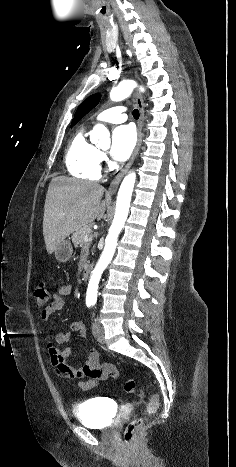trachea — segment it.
Here are the masks:
<instances>
[{"instance_id":"1","label":"trachea","mask_w":236,"mask_h":467,"mask_svg":"<svg viewBox=\"0 0 236 467\" xmlns=\"http://www.w3.org/2000/svg\"><path fill=\"white\" fill-rule=\"evenodd\" d=\"M132 114H133V117H134L135 119H138V118H139V111H138V109H134V111H133Z\"/></svg>"}]
</instances>
